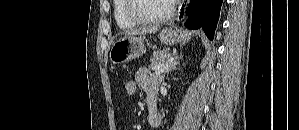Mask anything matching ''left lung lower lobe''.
<instances>
[{"label":"left lung lower lobe","instance_id":"1","mask_svg":"<svg viewBox=\"0 0 299 130\" xmlns=\"http://www.w3.org/2000/svg\"><path fill=\"white\" fill-rule=\"evenodd\" d=\"M222 2L223 0H192L187 8L189 20L185 26L190 29L202 28L206 36L213 40Z\"/></svg>","mask_w":299,"mask_h":130}]
</instances>
